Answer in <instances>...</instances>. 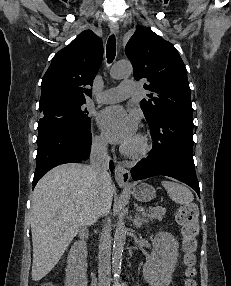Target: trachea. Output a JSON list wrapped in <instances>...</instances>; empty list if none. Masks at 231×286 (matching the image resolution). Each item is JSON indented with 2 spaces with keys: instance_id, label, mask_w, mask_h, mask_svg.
<instances>
[{
  "instance_id": "trachea-1",
  "label": "trachea",
  "mask_w": 231,
  "mask_h": 286,
  "mask_svg": "<svg viewBox=\"0 0 231 286\" xmlns=\"http://www.w3.org/2000/svg\"><path fill=\"white\" fill-rule=\"evenodd\" d=\"M107 62L111 63L116 55V39L114 34L108 38L106 45Z\"/></svg>"
}]
</instances>
